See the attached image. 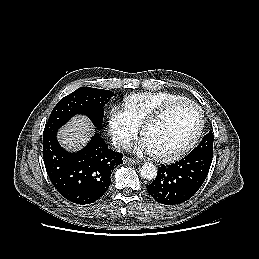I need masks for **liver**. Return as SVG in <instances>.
<instances>
[{"label": "liver", "instance_id": "6515ba94", "mask_svg": "<svg viewBox=\"0 0 259 259\" xmlns=\"http://www.w3.org/2000/svg\"><path fill=\"white\" fill-rule=\"evenodd\" d=\"M92 124L84 117H75L59 131V141L68 150L75 151L84 146L90 139Z\"/></svg>", "mask_w": 259, "mask_h": 259}]
</instances>
